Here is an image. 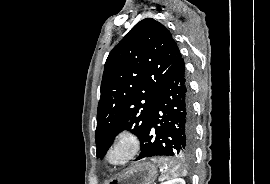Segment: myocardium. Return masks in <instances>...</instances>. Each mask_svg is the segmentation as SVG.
Here are the masks:
<instances>
[{"mask_svg": "<svg viewBox=\"0 0 270 184\" xmlns=\"http://www.w3.org/2000/svg\"><path fill=\"white\" fill-rule=\"evenodd\" d=\"M141 147L140 138L131 129L118 132L104 154L105 163L112 168H119L131 162L138 155Z\"/></svg>", "mask_w": 270, "mask_h": 184, "instance_id": "obj_1", "label": "myocardium"}]
</instances>
